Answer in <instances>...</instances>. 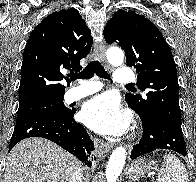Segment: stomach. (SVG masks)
<instances>
[{
    "label": "stomach",
    "instance_id": "0dacf381",
    "mask_svg": "<svg viewBox=\"0 0 196 182\" xmlns=\"http://www.w3.org/2000/svg\"><path fill=\"white\" fill-rule=\"evenodd\" d=\"M149 167L150 166L146 165V163L143 161L140 163H135L129 168L127 175L130 179H137L138 177L142 176Z\"/></svg>",
    "mask_w": 196,
    "mask_h": 182
}]
</instances>
